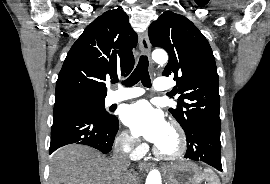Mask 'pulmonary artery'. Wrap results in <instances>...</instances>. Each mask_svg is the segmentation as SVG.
Returning <instances> with one entry per match:
<instances>
[{
	"instance_id": "e3ab8cb5",
	"label": "pulmonary artery",
	"mask_w": 270,
	"mask_h": 184,
	"mask_svg": "<svg viewBox=\"0 0 270 184\" xmlns=\"http://www.w3.org/2000/svg\"><path fill=\"white\" fill-rule=\"evenodd\" d=\"M170 89V83L168 79L160 77L154 81V90L157 92H166ZM144 91L141 88H127L120 89L109 95V103H118L121 101L129 100L141 96Z\"/></svg>"
}]
</instances>
